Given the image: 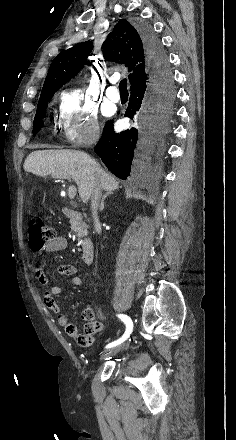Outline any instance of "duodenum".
Listing matches in <instances>:
<instances>
[{
    "label": "duodenum",
    "mask_w": 236,
    "mask_h": 440,
    "mask_svg": "<svg viewBox=\"0 0 236 440\" xmlns=\"http://www.w3.org/2000/svg\"><path fill=\"white\" fill-rule=\"evenodd\" d=\"M64 216L76 223H80L82 221V214L70 207L63 208ZM82 252L81 258L85 264H91L94 258V244L89 237H83L82 239Z\"/></svg>",
    "instance_id": "1"
}]
</instances>
